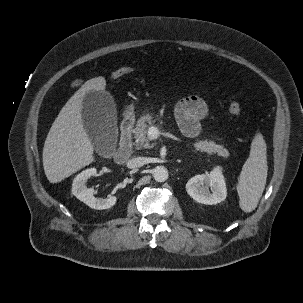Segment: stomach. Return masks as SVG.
<instances>
[{
	"label": "stomach",
	"instance_id": "0dacf381",
	"mask_svg": "<svg viewBox=\"0 0 303 303\" xmlns=\"http://www.w3.org/2000/svg\"><path fill=\"white\" fill-rule=\"evenodd\" d=\"M133 112V106H129L128 108H127V113L128 114H131Z\"/></svg>",
	"mask_w": 303,
	"mask_h": 303
}]
</instances>
